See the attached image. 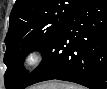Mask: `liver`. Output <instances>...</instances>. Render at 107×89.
Returning a JSON list of instances; mask_svg holds the SVG:
<instances>
[{
  "mask_svg": "<svg viewBox=\"0 0 107 89\" xmlns=\"http://www.w3.org/2000/svg\"><path fill=\"white\" fill-rule=\"evenodd\" d=\"M62 83L50 82L37 86L35 89H61Z\"/></svg>",
  "mask_w": 107,
  "mask_h": 89,
  "instance_id": "6515ba94",
  "label": "liver"
}]
</instances>
